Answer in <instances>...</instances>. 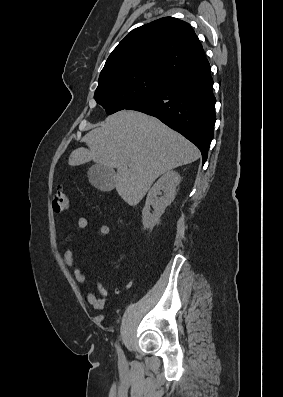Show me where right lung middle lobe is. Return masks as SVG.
Returning a JSON list of instances; mask_svg holds the SVG:
<instances>
[{
    "mask_svg": "<svg viewBox=\"0 0 283 397\" xmlns=\"http://www.w3.org/2000/svg\"><path fill=\"white\" fill-rule=\"evenodd\" d=\"M166 82L143 74L111 77L98 81L94 98L107 114H113L148 96Z\"/></svg>",
    "mask_w": 283,
    "mask_h": 397,
    "instance_id": "obj_1",
    "label": "right lung middle lobe"
}]
</instances>
